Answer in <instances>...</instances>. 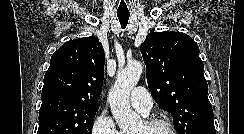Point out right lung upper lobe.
Segmentation results:
<instances>
[{
    "label": "right lung upper lobe",
    "instance_id": "obj_1",
    "mask_svg": "<svg viewBox=\"0 0 244 134\" xmlns=\"http://www.w3.org/2000/svg\"><path fill=\"white\" fill-rule=\"evenodd\" d=\"M104 62L105 54L98 38L67 41L51 57L44 76L42 103L59 99L98 106Z\"/></svg>",
    "mask_w": 244,
    "mask_h": 134
}]
</instances>
